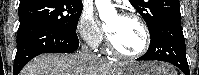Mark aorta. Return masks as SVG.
<instances>
[{
	"mask_svg": "<svg viewBox=\"0 0 199 75\" xmlns=\"http://www.w3.org/2000/svg\"><path fill=\"white\" fill-rule=\"evenodd\" d=\"M99 16L103 21L116 17L117 12L110 0H95Z\"/></svg>",
	"mask_w": 199,
	"mask_h": 75,
	"instance_id": "762f6f07",
	"label": "aorta"
}]
</instances>
